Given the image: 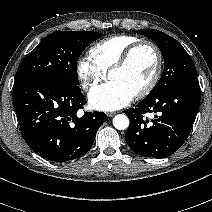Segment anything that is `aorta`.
I'll list each match as a JSON object with an SVG mask.
<instances>
[{
  "instance_id": "obj_1",
  "label": "aorta",
  "mask_w": 212,
  "mask_h": 212,
  "mask_svg": "<svg viewBox=\"0 0 212 212\" xmlns=\"http://www.w3.org/2000/svg\"><path fill=\"white\" fill-rule=\"evenodd\" d=\"M129 123V118L125 114H118L113 118V125L118 130L127 129Z\"/></svg>"
}]
</instances>
